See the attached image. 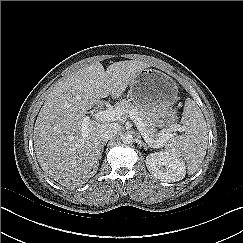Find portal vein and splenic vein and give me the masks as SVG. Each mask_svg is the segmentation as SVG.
<instances>
[{
    "instance_id": "obj_1",
    "label": "portal vein and splenic vein",
    "mask_w": 243,
    "mask_h": 243,
    "mask_svg": "<svg viewBox=\"0 0 243 243\" xmlns=\"http://www.w3.org/2000/svg\"><path fill=\"white\" fill-rule=\"evenodd\" d=\"M125 112L120 109L119 107H116L114 109L109 110H100L94 114V118L96 120L101 121H117L122 120L125 117ZM129 118L136 124L138 130L140 131L141 135L143 136L144 140L150 144L151 146H162L163 143H165L169 138L172 136L171 133L162 134L161 139L159 142L152 141L149 139L148 134L145 131L144 124L142 123L141 119L138 117L135 110H130L128 113ZM89 120V117H85L84 121L87 122ZM88 130V126L86 124L82 127V132L85 133Z\"/></svg>"
}]
</instances>
